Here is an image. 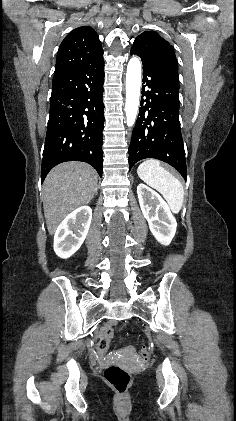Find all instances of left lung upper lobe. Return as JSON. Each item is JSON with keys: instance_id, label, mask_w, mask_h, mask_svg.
Here are the masks:
<instances>
[{"instance_id": "1", "label": "left lung upper lobe", "mask_w": 236, "mask_h": 421, "mask_svg": "<svg viewBox=\"0 0 236 421\" xmlns=\"http://www.w3.org/2000/svg\"><path fill=\"white\" fill-rule=\"evenodd\" d=\"M132 48L149 58L159 59L178 69V62L172 46L154 31L141 33Z\"/></svg>"}]
</instances>
